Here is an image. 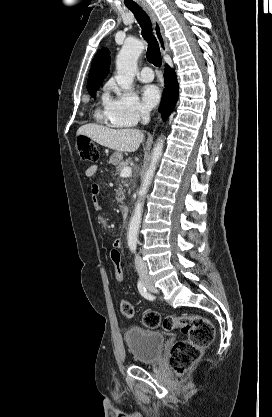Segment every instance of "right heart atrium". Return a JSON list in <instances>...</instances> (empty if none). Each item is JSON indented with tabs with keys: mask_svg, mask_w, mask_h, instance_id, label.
<instances>
[{
	"mask_svg": "<svg viewBox=\"0 0 272 417\" xmlns=\"http://www.w3.org/2000/svg\"><path fill=\"white\" fill-rule=\"evenodd\" d=\"M109 90L113 95L106 99L105 109L115 123L134 126L148 115L136 94L122 90L114 83L109 84Z\"/></svg>",
	"mask_w": 272,
	"mask_h": 417,
	"instance_id": "1",
	"label": "right heart atrium"
}]
</instances>
